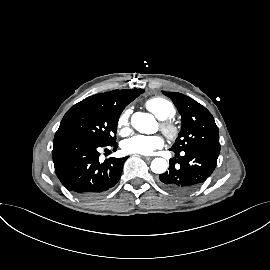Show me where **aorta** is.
I'll return each instance as SVG.
<instances>
[{"label":"aorta","instance_id":"762f6f07","mask_svg":"<svg viewBox=\"0 0 270 270\" xmlns=\"http://www.w3.org/2000/svg\"><path fill=\"white\" fill-rule=\"evenodd\" d=\"M132 126L140 133L152 134L157 129V123L151 114L137 112L131 117ZM168 164L164 158H155L151 162V170L154 173H164L167 170Z\"/></svg>","mask_w":270,"mask_h":270}]
</instances>
